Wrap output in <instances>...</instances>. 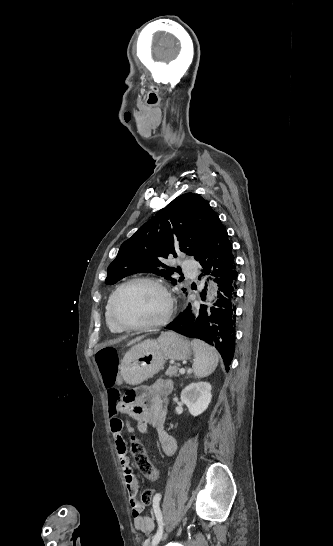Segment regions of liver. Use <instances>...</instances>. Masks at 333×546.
<instances>
[{"mask_svg":"<svg viewBox=\"0 0 333 546\" xmlns=\"http://www.w3.org/2000/svg\"><path fill=\"white\" fill-rule=\"evenodd\" d=\"M143 338H144V336L137 337V338H135V339L129 341V342L127 343V346H131V345L135 344L136 342H139V341L142 340Z\"/></svg>","mask_w":333,"mask_h":546,"instance_id":"1","label":"liver"}]
</instances>
